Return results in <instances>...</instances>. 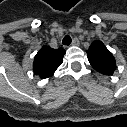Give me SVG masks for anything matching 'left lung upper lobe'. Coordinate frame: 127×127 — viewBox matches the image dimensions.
<instances>
[{"label": "left lung upper lobe", "instance_id": "left-lung-upper-lobe-1", "mask_svg": "<svg viewBox=\"0 0 127 127\" xmlns=\"http://www.w3.org/2000/svg\"><path fill=\"white\" fill-rule=\"evenodd\" d=\"M92 67L104 75H112L116 69L115 58L101 41H94L87 51Z\"/></svg>", "mask_w": 127, "mask_h": 127}]
</instances>
